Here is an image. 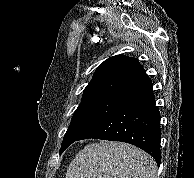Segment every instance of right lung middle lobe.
Masks as SVG:
<instances>
[{
  "label": "right lung middle lobe",
  "instance_id": "1",
  "mask_svg": "<svg viewBox=\"0 0 194 178\" xmlns=\"http://www.w3.org/2000/svg\"><path fill=\"white\" fill-rule=\"evenodd\" d=\"M122 104L124 103L109 99L82 100L74 112L71 123L64 136L60 153Z\"/></svg>",
  "mask_w": 194,
  "mask_h": 178
}]
</instances>
